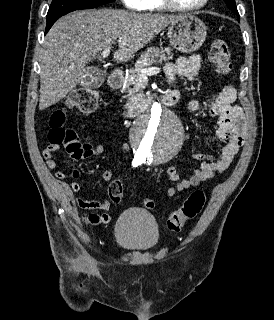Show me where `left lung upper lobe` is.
I'll use <instances>...</instances> for the list:
<instances>
[{
  "label": "left lung upper lobe",
  "instance_id": "1",
  "mask_svg": "<svg viewBox=\"0 0 274 320\" xmlns=\"http://www.w3.org/2000/svg\"><path fill=\"white\" fill-rule=\"evenodd\" d=\"M224 2L226 3V5L228 6V8L234 12L235 14L238 15V11L236 8V4H235V0H224Z\"/></svg>",
  "mask_w": 274,
  "mask_h": 320
}]
</instances>
